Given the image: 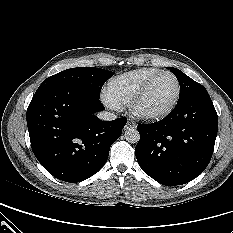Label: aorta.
<instances>
[{
    "mask_svg": "<svg viewBox=\"0 0 233 233\" xmlns=\"http://www.w3.org/2000/svg\"><path fill=\"white\" fill-rule=\"evenodd\" d=\"M125 139L129 143H137L140 140V132L136 128L130 127L125 131Z\"/></svg>",
    "mask_w": 233,
    "mask_h": 233,
    "instance_id": "aorta-1",
    "label": "aorta"
}]
</instances>
